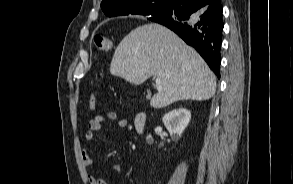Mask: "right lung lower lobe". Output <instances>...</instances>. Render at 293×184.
I'll use <instances>...</instances> for the list:
<instances>
[{"label":"right lung lower lobe","instance_id":"right-lung-lower-lobe-1","mask_svg":"<svg viewBox=\"0 0 293 184\" xmlns=\"http://www.w3.org/2000/svg\"><path fill=\"white\" fill-rule=\"evenodd\" d=\"M222 11L220 0L207 7L201 0H173L158 17L149 20L168 27L194 47L220 78Z\"/></svg>","mask_w":293,"mask_h":184}]
</instances>
